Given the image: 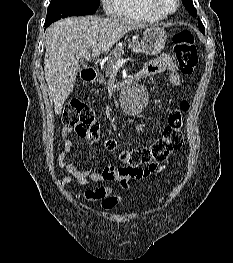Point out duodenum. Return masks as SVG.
<instances>
[{
    "mask_svg": "<svg viewBox=\"0 0 233 263\" xmlns=\"http://www.w3.org/2000/svg\"><path fill=\"white\" fill-rule=\"evenodd\" d=\"M81 76L84 82L92 83L97 78V71L93 68H88L82 72ZM144 77H145L144 74L140 71L135 75H133L131 78H130V73H123V76H117V79H121L122 83H128L129 82L128 78H130V80H139ZM117 86H120V83H117Z\"/></svg>",
    "mask_w": 233,
    "mask_h": 263,
    "instance_id": "410a0bca",
    "label": "duodenum"
}]
</instances>
